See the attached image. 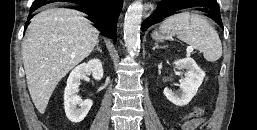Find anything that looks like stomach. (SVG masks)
<instances>
[{"instance_id":"0dacf381","label":"stomach","mask_w":257,"mask_h":130,"mask_svg":"<svg viewBox=\"0 0 257 130\" xmlns=\"http://www.w3.org/2000/svg\"><path fill=\"white\" fill-rule=\"evenodd\" d=\"M152 38L156 41H163L166 38V35L161 31L155 30L152 32Z\"/></svg>"}]
</instances>
